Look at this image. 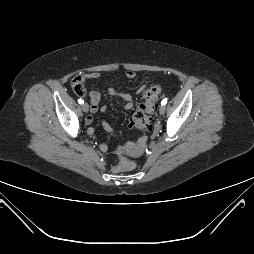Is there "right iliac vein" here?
Wrapping results in <instances>:
<instances>
[{"label":"right iliac vein","mask_w":254,"mask_h":254,"mask_svg":"<svg viewBox=\"0 0 254 254\" xmlns=\"http://www.w3.org/2000/svg\"><path fill=\"white\" fill-rule=\"evenodd\" d=\"M81 107H82V110L84 112H88L89 111V105L87 103H83Z\"/></svg>","instance_id":"63e3f726"}]
</instances>
